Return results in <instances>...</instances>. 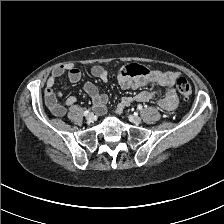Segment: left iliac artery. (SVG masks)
<instances>
[{"label": "left iliac artery", "instance_id": "44dca946", "mask_svg": "<svg viewBox=\"0 0 224 224\" xmlns=\"http://www.w3.org/2000/svg\"><path fill=\"white\" fill-rule=\"evenodd\" d=\"M137 108H138L139 110H142V105L139 104V105L137 106Z\"/></svg>", "mask_w": 224, "mask_h": 224}]
</instances>
